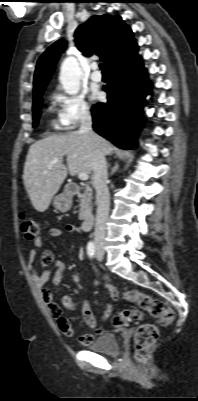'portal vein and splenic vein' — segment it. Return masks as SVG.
<instances>
[{
	"instance_id": "obj_1",
	"label": "portal vein and splenic vein",
	"mask_w": 198,
	"mask_h": 401,
	"mask_svg": "<svg viewBox=\"0 0 198 401\" xmlns=\"http://www.w3.org/2000/svg\"><path fill=\"white\" fill-rule=\"evenodd\" d=\"M58 161H59V160H57V159L53 160V161L48 165L47 170L50 169L51 166H52L53 164L57 163ZM47 170H45L44 173H47ZM78 178H79L80 180H82V181H86V180H88L89 176H88V174L85 173V172H80V173L78 174Z\"/></svg>"
}]
</instances>
